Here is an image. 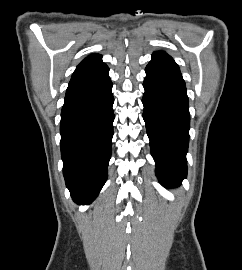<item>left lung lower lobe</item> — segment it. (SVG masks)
I'll use <instances>...</instances> for the list:
<instances>
[{
	"label": "left lung lower lobe",
	"mask_w": 242,
	"mask_h": 270,
	"mask_svg": "<svg viewBox=\"0 0 242 270\" xmlns=\"http://www.w3.org/2000/svg\"><path fill=\"white\" fill-rule=\"evenodd\" d=\"M143 83V119L150 139L156 175L167 187L187 176L190 114L185 82L170 56H152Z\"/></svg>",
	"instance_id": "0a47b994"
}]
</instances>
